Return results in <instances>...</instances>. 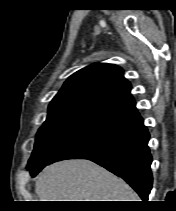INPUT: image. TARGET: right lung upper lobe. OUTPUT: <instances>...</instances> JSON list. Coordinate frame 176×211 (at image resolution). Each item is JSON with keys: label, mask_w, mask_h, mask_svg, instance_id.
Listing matches in <instances>:
<instances>
[{"label": "right lung upper lobe", "mask_w": 176, "mask_h": 211, "mask_svg": "<svg viewBox=\"0 0 176 211\" xmlns=\"http://www.w3.org/2000/svg\"><path fill=\"white\" fill-rule=\"evenodd\" d=\"M131 84L113 64L94 63L73 75L51 101L48 116H67L100 123L136 110Z\"/></svg>", "instance_id": "cb5924a9"}]
</instances>
